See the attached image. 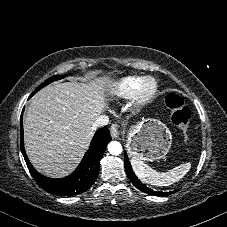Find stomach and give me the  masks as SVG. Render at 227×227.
<instances>
[{"instance_id":"obj_1","label":"stomach","mask_w":227,"mask_h":227,"mask_svg":"<svg viewBox=\"0 0 227 227\" xmlns=\"http://www.w3.org/2000/svg\"><path fill=\"white\" fill-rule=\"evenodd\" d=\"M172 135L157 119H145L132 126L127 137L128 153L142 161L163 158L169 151Z\"/></svg>"}]
</instances>
